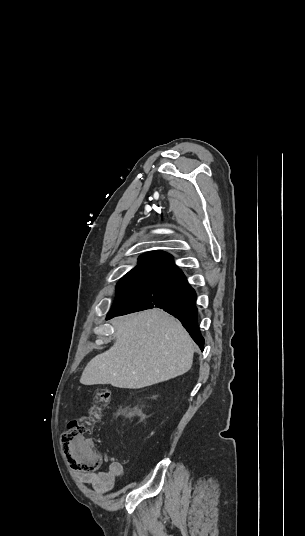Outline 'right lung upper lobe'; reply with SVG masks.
Here are the masks:
<instances>
[{"mask_svg": "<svg viewBox=\"0 0 305 536\" xmlns=\"http://www.w3.org/2000/svg\"><path fill=\"white\" fill-rule=\"evenodd\" d=\"M180 272L181 270L174 265L170 254L163 251H151L141 255L138 266L124 277H161L165 279Z\"/></svg>", "mask_w": 305, "mask_h": 536, "instance_id": "obj_1", "label": "right lung upper lobe"}]
</instances>
